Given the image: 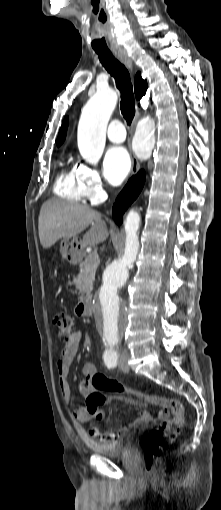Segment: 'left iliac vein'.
Returning a JSON list of instances; mask_svg holds the SVG:
<instances>
[{
	"label": "left iliac vein",
	"mask_w": 221,
	"mask_h": 510,
	"mask_svg": "<svg viewBox=\"0 0 221 510\" xmlns=\"http://www.w3.org/2000/svg\"><path fill=\"white\" fill-rule=\"evenodd\" d=\"M119 368L124 371V372H128L129 371V366L127 364V355L126 354H122L120 357H119Z\"/></svg>",
	"instance_id": "1"
}]
</instances>
